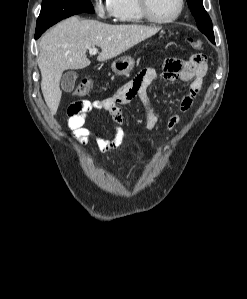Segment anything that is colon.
Returning a JSON list of instances; mask_svg holds the SVG:
<instances>
[{
	"label": "colon",
	"mask_w": 247,
	"mask_h": 299,
	"mask_svg": "<svg viewBox=\"0 0 247 299\" xmlns=\"http://www.w3.org/2000/svg\"><path fill=\"white\" fill-rule=\"evenodd\" d=\"M190 45L194 49H201L203 43L200 39H192L190 41ZM92 90V81L90 79L81 80L74 90V94L76 96L82 97L89 94Z\"/></svg>",
	"instance_id": "obj_1"
}]
</instances>
